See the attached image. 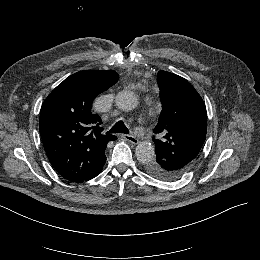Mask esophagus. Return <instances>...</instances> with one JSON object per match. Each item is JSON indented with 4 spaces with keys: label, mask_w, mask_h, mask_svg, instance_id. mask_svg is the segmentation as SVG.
Segmentation results:
<instances>
[{
    "label": "esophagus",
    "mask_w": 260,
    "mask_h": 260,
    "mask_svg": "<svg viewBox=\"0 0 260 260\" xmlns=\"http://www.w3.org/2000/svg\"><path fill=\"white\" fill-rule=\"evenodd\" d=\"M122 137H123L126 141H128V142H130V143H132V144H138V142H139V140H138L135 136H133V135L123 134Z\"/></svg>",
    "instance_id": "esophagus-1"
}]
</instances>
